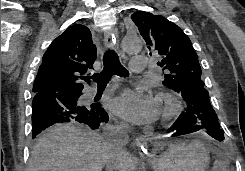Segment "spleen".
I'll list each match as a JSON object with an SVG mask.
<instances>
[{
	"label": "spleen",
	"instance_id": "1",
	"mask_svg": "<svg viewBox=\"0 0 245 171\" xmlns=\"http://www.w3.org/2000/svg\"><path fill=\"white\" fill-rule=\"evenodd\" d=\"M212 171H229V170L222 161L215 160Z\"/></svg>",
	"mask_w": 245,
	"mask_h": 171
}]
</instances>
